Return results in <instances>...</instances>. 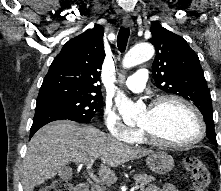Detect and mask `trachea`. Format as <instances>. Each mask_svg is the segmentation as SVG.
<instances>
[{
  "instance_id": "3493384b",
  "label": "trachea",
  "mask_w": 221,
  "mask_h": 191,
  "mask_svg": "<svg viewBox=\"0 0 221 191\" xmlns=\"http://www.w3.org/2000/svg\"><path fill=\"white\" fill-rule=\"evenodd\" d=\"M130 35V30L121 27L117 36V46L120 52H124L127 46V41Z\"/></svg>"
}]
</instances>
